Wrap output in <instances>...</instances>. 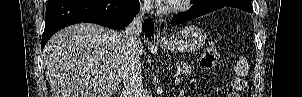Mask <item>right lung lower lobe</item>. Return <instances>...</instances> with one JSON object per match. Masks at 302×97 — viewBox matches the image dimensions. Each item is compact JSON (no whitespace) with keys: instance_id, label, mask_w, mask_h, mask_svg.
Returning <instances> with one entry per match:
<instances>
[{"instance_id":"right-lung-lower-lobe-1","label":"right lung lower lobe","mask_w":302,"mask_h":97,"mask_svg":"<svg viewBox=\"0 0 302 97\" xmlns=\"http://www.w3.org/2000/svg\"><path fill=\"white\" fill-rule=\"evenodd\" d=\"M139 8L138 0H48L41 49L55 32L72 24L91 22L112 29L124 28ZM143 31L147 36L153 34L152 20L145 21Z\"/></svg>"}]
</instances>
